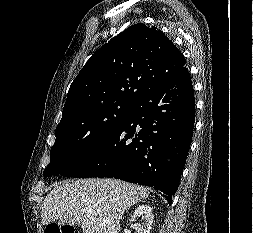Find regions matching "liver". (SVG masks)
Here are the masks:
<instances>
[{"label": "liver", "instance_id": "6515ba94", "mask_svg": "<svg viewBox=\"0 0 253 233\" xmlns=\"http://www.w3.org/2000/svg\"><path fill=\"white\" fill-rule=\"evenodd\" d=\"M148 195V188L115 179L65 181L47 194L42 224L59 219L78 223L83 233H118L124 212Z\"/></svg>", "mask_w": 253, "mask_h": 233}]
</instances>
